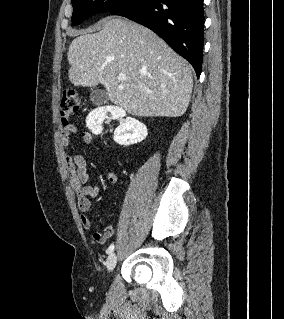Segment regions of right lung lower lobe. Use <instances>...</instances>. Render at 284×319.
<instances>
[{
  "label": "right lung lower lobe",
  "mask_w": 284,
  "mask_h": 319,
  "mask_svg": "<svg viewBox=\"0 0 284 319\" xmlns=\"http://www.w3.org/2000/svg\"><path fill=\"white\" fill-rule=\"evenodd\" d=\"M110 13L140 23L158 34L195 69H202L203 0H131Z\"/></svg>",
  "instance_id": "right-lung-lower-lobe-1"
}]
</instances>
